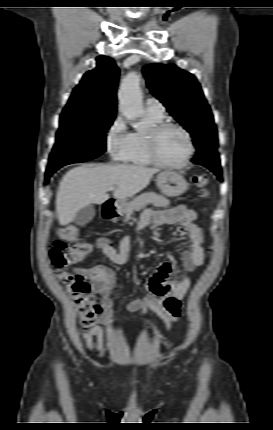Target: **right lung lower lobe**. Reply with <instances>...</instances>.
<instances>
[{
    "mask_svg": "<svg viewBox=\"0 0 273 430\" xmlns=\"http://www.w3.org/2000/svg\"><path fill=\"white\" fill-rule=\"evenodd\" d=\"M53 173H54V172H52V171L47 172V173H46V176H45V180H46V181H49V178H50V176H51Z\"/></svg>",
    "mask_w": 273,
    "mask_h": 430,
    "instance_id": "1",
    "label": "right lung lower lobe"
}]
</instances>
